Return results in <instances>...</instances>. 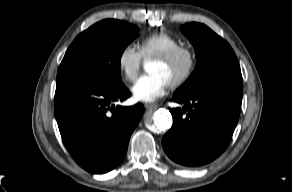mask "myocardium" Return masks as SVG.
Wrapping results in <instances>:
<instances>
[{
    "label": "myocardium",
    "mask_w": 292,
    "mask_h": 192,
    "mask_svg": "<svg viewBox=\"0 0 292 192\" xmlns=\"http://www.w3.org/2000/svg\"><path fill=\"white\" fill-rule=\"evenodd\" d=\"M180 58H184L186 64L182 73L169 82V85L173 88L184 85L194 74L197 67V54L195 50L190 46L180 45L153 57L154 60L164 63H173Z\"/></svg>",
    "instance_id": "myocardium-1"
}]
</instances>
